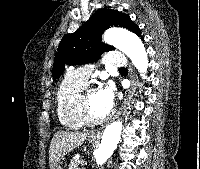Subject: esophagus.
Masks as SVG:
<instances>
[{"label": "esophagus", "mask_w": 200, "mask_h": 169, "mask_svg": "<svg viewBox=\"0 0 200 169\" xmlns=\"http://www.w3.org/2000/svg\"><path fill=\"white\" fill-rule=\"evenodd\" d=\"M129 78H130V80H131V85H130L129 89H127V90L125 91L124 99H123L122 105H121L120 109L118 110V112H117V114H116V116H115L114 119L118 118V117L121 115V113L124 111V109H125V107H126V105H127V103H128L129 97H130V95H131V93H132V90H133V88H134L133 68L131 67V65H129ZM102 129H103V127L100 128V129H97V130H93V131L91 132L90 136H91V137H100V136H101V133H102Z\"/></svg>", "instance_id": "obj_1"}]
</instances>
